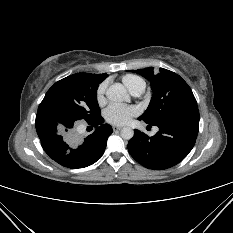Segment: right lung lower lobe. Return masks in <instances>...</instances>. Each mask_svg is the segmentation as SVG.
Returning a JSON list of instances; mask_svg holds the SVG:
<instances>
[{
  "instance_id": "right-lung-lower-lobe-1",
  "label": "right lung lower lobe",
  "mask_w": 233,
  "mask_h": 233,
  "mask_svg": "<svg viewBox=\"0 0 233 233\" xmlns=\"http://www.w3.org/2000/svg\"><path fill=\"white\" fill-rule=\"evenodd\" d=\"M87 122L97 128L84 139L75 135V122L61 120L52 112L37 113L35 126L44 151L60 165L78 169L95 163L102 156L113 132L109 124H102L100 115Z\"/></svg>"
}]
</instances>
